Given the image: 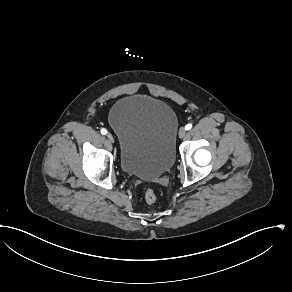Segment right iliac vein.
I'll return each instance as SVG.
<instances>
[{
    "label": "right iliac vein",
    "instance_id": "obj_1",
    "mask_svg": "<svg viewBox=\"0 0 292 292\" xmlns=\"http://www.w3.org/2000/svg\"><path fill=\"white\" fill-rule=\"evenodd\" d=\"M107 138H108V140H109L111 143L114 142V138H113V135H112L111 133H108V134H107Z\"/></svg>",
    "mask_w": 292,
    "mask_h": 292
}]
</instances>
